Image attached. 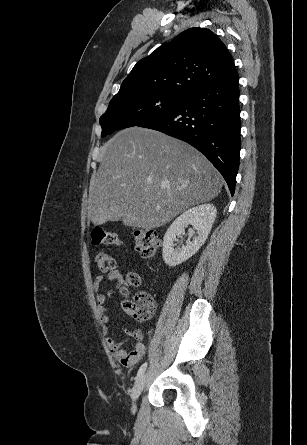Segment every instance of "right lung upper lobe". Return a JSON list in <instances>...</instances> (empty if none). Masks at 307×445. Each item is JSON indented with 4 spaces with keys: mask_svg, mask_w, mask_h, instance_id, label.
<instances>
[{
    "mask_svg": "<svg viewBox=\"0 0 307 445\" xmlns=\"http://www.w3.org/2000/svg\"><path fill=\"white\" fill-rule=\"evenodd\" d=\"M234 69L232 56L211 30L191 28L140 60L115 96H186Z\"/></svg>",
    "mask_w": 307,
    "mask_h": 445,
    "instance_id": "1",
    "label": "right lung upper lobe"
}]
</instances>
